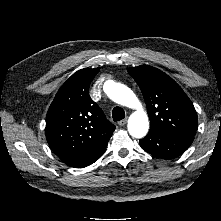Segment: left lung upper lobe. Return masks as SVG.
Here are the masks:
<instances>
[{"label": "left lung upper lobe", "mask_w": 221, "mask_h": 221, "mask_svg": "<svg viewBox=\"0 0 221 221\" xmlns=\"http://www.w3.org/2000/svg\"><path fill=\"white\" fill-rule=\"evenodd\" d=\"M128 73L142 91L150 131L194 137L198 125L195 108L171 77L148 65L129 68Z\"/></svg>", "instance_id": "left-lung-upper-lobe-1"}]
</instances>
